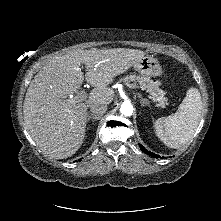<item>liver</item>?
<instances>
[{
    "mask_svg": "<svg viewBox=\"0 0 221 221\" xmlns=\"http://www.w3.org/2000/svg\"><path fill=\"white\" fill-rule=\"evenodd\" d=\"M144 56L136 49H79L45 65L30 83L23 106L26 129L39 148L55 159L75 154L85 137L87 108L97 101L111 103L114 78ZM81 64L94 89L88 100L77 104L66 98L76 94L84 81Z\"/></svg>",
    "mask_w": 221,
    "mask_h": 221,
    "instance_id": "liver-1",
    "label": "liver"
}]
</instances>
